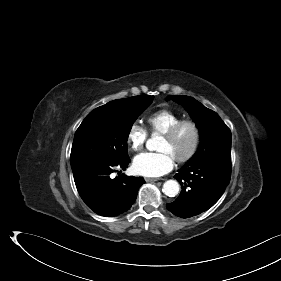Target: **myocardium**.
Here are the masks:
<instances>
[{
  "mask_svg": "<svg viewBox=\"0 0 281 281\" xmlns=\"http://www.w3.org/2000/svg\"><path fill=\"white\" fill-rule=\"evenodd\" d=\"M185 126H189L193 130L194 141L190 150L185 155L175 159L178 163H185L190 161L198 152L201 143V131L198 124L190 119H181L163 134L164 138L171 140L175 138L178 132Z\"/></svg>",
  "mask_w": 281,
  "mask_h": 281,
  "instance_id": "myocardium-1",
  "label": "myocardium"
}]
</instances>
